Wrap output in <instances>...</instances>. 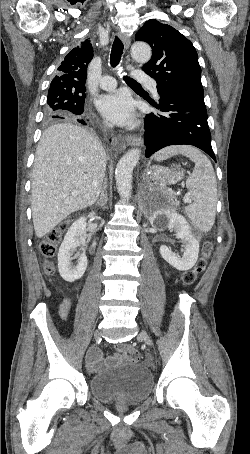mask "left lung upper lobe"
<instances>
[{
    "label": "left lung upper lobe",
    "mask_w": 250,
    "mask_h": 454,
    "mask_svg": "<svg viewBox=\"0 0 250 454\" xmlns=\"http://www.w3.org/2000/svg\"><path fill=\"white\" fill-rule=\"evenodd\" d=\"M135 38L152 48V58L143 70L157 81L158 93L204 94L197 52L180 32L150 19Z\"/></svg>",
    "instance_id": "obj_1"
}]
</instances>
